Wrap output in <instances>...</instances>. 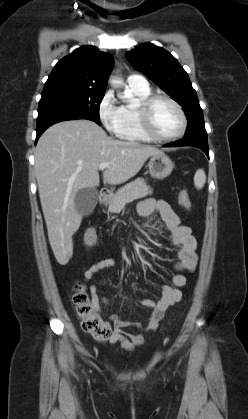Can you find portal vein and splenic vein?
<instances>
[{
    "mask_svg": "<svg viewBox=\"0 0 248 419\" xmlns=\"http://www.w3.org/2000/svg\"><path fill=\"white\" fill-rule=\"evenodd\" d=\"M107 167H109V163H101L100 165H99V169L100 170H104V169H106Z\"/></svg>",
    "mask_w": 248,
    "mask_h": 419,
    "instance_id": "18ae733b",
    "label": "portal vein and splenic vein"
}]
</instances>
